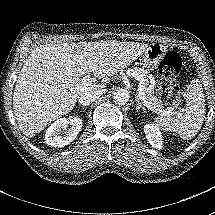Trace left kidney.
<instances>
[{
  "label": "left kidney",
  "mask_w": 215,
  "mask_h": 215,
  "mask_svg": "<svg viewBox=\"0 0 215 215\" xmlns=\"http://www.w3.org/2000/svg\"><path fill=\"white\" fill-rule=\"evenodd\" d=\"M144 133L148 143L155 149L161 150L163 148L162 133L156 124L144 125Z\"/></svg>",
  "instance_id": "5707ae66"
}]
</instances>
